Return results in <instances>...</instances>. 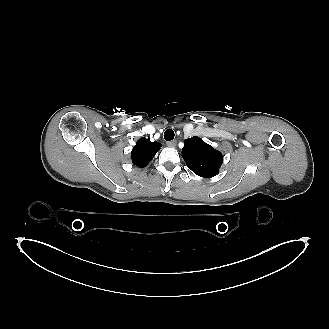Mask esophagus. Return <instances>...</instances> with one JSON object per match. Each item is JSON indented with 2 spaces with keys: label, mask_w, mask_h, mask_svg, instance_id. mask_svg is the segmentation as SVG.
Instances as JSON below:
<instances>
[{
  "label": "esophagus",
  "mask_w": 329,
  "mask_h": 329,
  "mask_svg": "<svg viewBox=\"0 0 329 329\" xmlns=\"http://www.w3.org/2000/svg\"><path fill=\"white\" fill-rule=\"evenodd\" d=\"M176 144H177V142L175 140H172V141H168L167 142V146H169V147H175Z\"/></svg>",
  "instance_id": "esophagus-1"
}]
</instances>
